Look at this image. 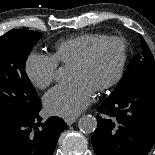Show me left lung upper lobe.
Wrapping results in <instances>:
<instances>
[{
    "mask_svg": "<svg viewBox=\"0 0 155 155\" xmlns=\"http://www.w3.org/2000/svg\"><path fill=\"white\" fill-rule=\"evenodd\" d=\"M140 52L133 56L123 79L112 94L121 93L129 88L146 84L155 79V62L148 45L140 35Z\"/></svg>",
    "mask_w": 155,
    "mask_h": 155,
    "instance_id": "1",
    "label": "left lung upper lobe"
}]
</instances>
